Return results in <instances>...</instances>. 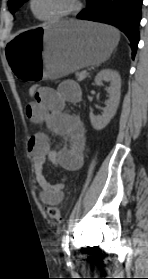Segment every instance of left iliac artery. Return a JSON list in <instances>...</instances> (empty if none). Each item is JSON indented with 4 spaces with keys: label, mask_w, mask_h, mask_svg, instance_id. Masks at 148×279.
Here are the masks:
<instances>
[{
    "label": "left iliac artery",
    "mask_w": 148,
    "mask_h": 279,
    "mask_svg": "<svg viewBox=\"0 0 148 279\" xmlns=\"http://www.w3.org/2000/svg\"><path fill=\"white\" fill-rule=\"evenodd\" d=\"M68 243H69V232L66 230L62 237V248L63 251H68Z\"/></svg>",
    "instance_id": "left-iliac-artery-1"
}]
</instances>
